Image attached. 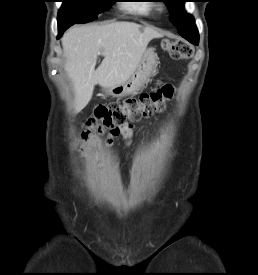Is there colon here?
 <instances>
[{"instance_id": "colon-1", "label": "colon", "mask_w": 258, "mask_h": 275, "mask_svg": "<svg viewBox=\"0 0 258 275\" xmlns=\"http://www.w3.org/2000/svg\"><path fill=\"white\" fill-rule=\"evenodd\" d=\"M161 46L173 59L185 60L193 54V48L182 40L165 38ZM171 94L172 88L162 85L135 98L98 106L94 116L87 120V129L83 133L84 139H94L97 142L99 141L97 135L105 132L110 136H115L122 130L132 129L131 122L162 111Z\"/></svg>"}]
</instances>
